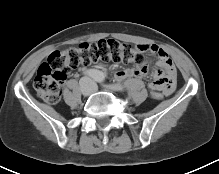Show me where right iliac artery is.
Returning a JSON list of instances; mask_svg holds the SVG:
<instances>
[{
  "label": "right iliac artery",
  "mask_w": 219,
  "mask_h": 174,
  "mask_svg": "<svg viewBox=\"0 0 219 174\" xmlns=\"http://www.w3.org/2000/svg\"><path fill=\"white\" fill-rule=\"evenodd\" d=\"M97 74H98V71L94 70V69H90V70L86 71V75H88L92 78H96Z\"/></svg>",
  "instance_id": "right-iliac-artery-1"
}]
</instances>
